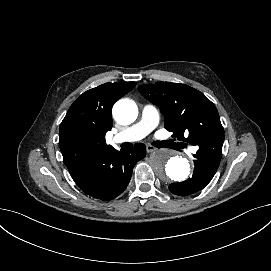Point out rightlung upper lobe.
Returning a JSON list of instances; mask_svg holds the SVG:
<instances>
[{"mask_svg": "<svg viewBox=\"0 0 271 271\" xmlns=\"http://www.w3.org/2000/svg\"><path fill=\"white\" fill-rule=\"evenodd\" d=\"M135 85L105 83L84 92L71 105L59 129V146L70 173L109 147L105 134L112 128V106Z\"/></svg>", "mask_w": 271, "mask_h": 271, "instance_id": "obj_1", "label": "right lung upper lobe"}]
</instances>
